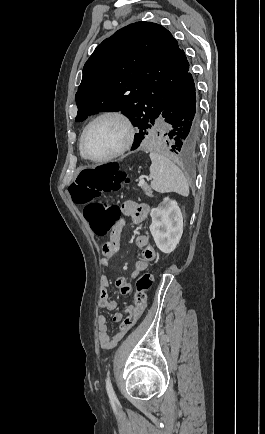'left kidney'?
<instances>
[{
  "instance_id": "5707ae66",
  "label": "left kidney",
  "mask_w": 265,
  "mask_h": 434,
  "mask_svg": "<svg viewBox=\"0 0 265 434\" xmlns=\"http://www.w3.org/2000/svg\"><path fill=\"white\" fill-rule=\"evenodd\" d=\"M150 216V232L157 248L171 254L183 234V218L177 202L164 198L160 208H152Z\"/></svg>"
}]
</instances>
